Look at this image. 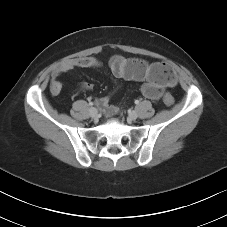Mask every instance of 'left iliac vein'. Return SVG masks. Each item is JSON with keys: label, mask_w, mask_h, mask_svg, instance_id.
<instances>
[{"label": "left iliac vein", "mask_w": 227, "mask_h": 227, "mask_svg": "<svg viewBox=\"0 0 227 227\" xmlns=\"http://www.w3.org/2000/svg\"><path fill=\"white\" fill-rule=\"evenodd\" d=\"M137 117H138L137 111L132 110V111L129 113V118H130L131 120H135V119H137Z\"/></svg>", "instance_id": "left-iliac-vein-1"}]
</instances>
